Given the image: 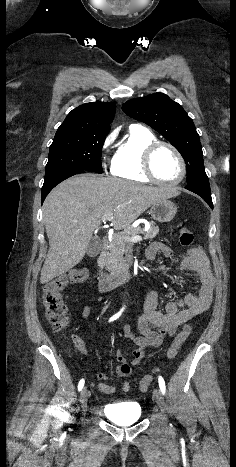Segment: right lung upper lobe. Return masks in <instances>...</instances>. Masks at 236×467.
I'll return each instance as SVG.
<instances>
[{
  "label": "right lung upper lobe",
  "instance_id": "obj_1",
  "mask_svg": "<svg viewBox=\"0 0 236 467\" xmlns=\"http://www.w3.org/2000/svg\"><path fill=\"white\" fill-rule=\"evenodd\" d=\"M115 105L91 102L73 109L58 130L108 133L115 114Z\"/></svg>",
  "mask_w": 236,
  "mask_h": 467
}]
</instances>
